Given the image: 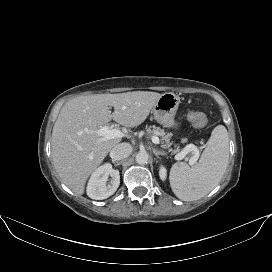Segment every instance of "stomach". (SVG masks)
<instances>
[{
    "instance_id": "obj_1",
    "label": "stomach",
    "mask_w": 272,
    "mask_h": 272,
    "mask_svg": "<svg viewBox=\"0 0 272 272\" xmlns=\"http://www.w3.org/2000/svg\"><path fill=\"white\" fill-rule=\"evenodd\" d=\"M180 103V98L174 93H164L161 95L152 113L155 120L167 128H179V123L175 121V115Z\"/></svg>"
}]
</instances>
